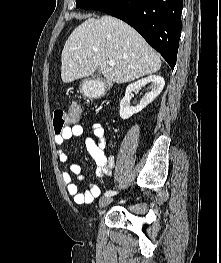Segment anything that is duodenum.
<instances>
[{
	"mask_svg": "<svg viewBox=\"0 0 221 263\" xmlns=\"http://www.w3.org/2000/svg\"><path fill=\"white\" fill-rule=\"evenodd\" d=\"M105 90V87L102 85H96L93 87V96L94 97H99L103 94Z\"/></svg>",
	"mask_w": 221,
	"mask_h": 263,
	"instance_id": "duodenum-1",
	"label": "duodenum"
}]
</instances>
